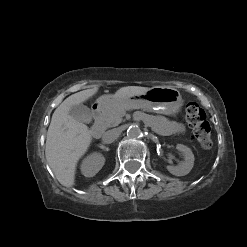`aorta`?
Returning a JSON list of instances; mask_svg holds the SVG:
<instances>
[{"mask_svg": "<svg viewBox=\"0 0 247 247\" xmlns=\"http://www.w3.org/2000/svg\"><path fill=\"white\" fill-rule=\"evenodd\" d=\"M141 135V130L137 125H131L127 130V136L130 138H138Z\"/></svg>", "mask_w": 247, "mask_h": 247, "instance_id": "762f6f07", "label": "aorta"}]
</instances>
